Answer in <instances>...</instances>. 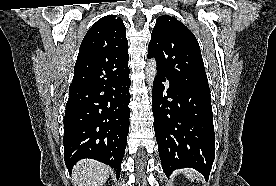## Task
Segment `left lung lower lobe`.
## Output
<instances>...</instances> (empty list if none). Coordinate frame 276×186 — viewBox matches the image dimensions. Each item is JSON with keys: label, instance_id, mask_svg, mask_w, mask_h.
<instances>
[{"label": "left lung lower lobe", "instance_id": "0a47b994", "mask_svg": "<svg viewBox=\"0 0 276 186\" xmlns=\"http://www.w3.org/2000/svg\"><path fill=\"white\" fill-rule=\"evenodd\" d=\"M210 98V90L173 81L157 71L152 111L159 156L167 177L175 169L191 167L208 179L215 158Z\"/></svg>", "mask_w": 276, "mask_h": 186}]
</instances>
